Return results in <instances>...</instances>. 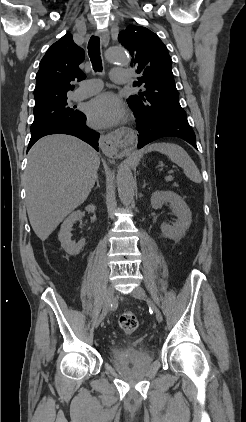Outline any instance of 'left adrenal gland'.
<instances>
[{"instance_id": "left-adrenal-gland-1", "label": "left adrenal gland", "mask_w": 246, "mask_h": 422, "mask_svg": "<svg viewBox=\"0 0 246 422\" xmlns=\"http://www.w3.org/2000/svg\"><path fill=\"white\" fill-rule=\"evenodd\" d=\"M147 186L146 182L144 181L142 188H145Z\"/></svg>"}]
</instances>
